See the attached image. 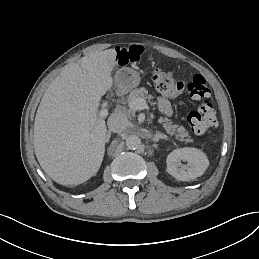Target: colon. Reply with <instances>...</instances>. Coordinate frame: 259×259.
<instances>
[{"instance_id":"colon-1","label":"colon","mask_w":259,"mask_h":259,"mask_svg":"<svg viewBox=\"0 0 259 259\" xmlns=\"http://www.w3.org/2000/svg\"><path fill=\"white\" fill-rule=\"evenodd\" d=\"M153 81L157 90L167 98L174 99L187 91L195 101L196 109L187 115V121L194 134L201 135L217 126L211 91L202 75L196 74L184 83L177 81L170 72L157 69L153 73Z\"/></svg>"}]
</instances>
